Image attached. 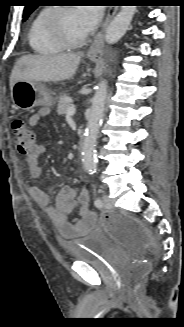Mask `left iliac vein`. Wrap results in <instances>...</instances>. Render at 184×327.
Listing matches in <instances>:
<instances>
[{
	"instance_id": "left-iliac-vein-1",
	"label": "left iliac vein",
	"mask_w": 184,
	"mask_h": 327,
	"mask_svg": "<svg viewBox=\"0 0 184 327\" xmlns=\"http://www.w3.org/2000/svg\"><path fill=\"white\" fill-rule=\"evenodd\" d=\"M102 200H103L104 206L106 208H112L113 204L107 195H103Z\"/></svg>"
}]
</instances>
